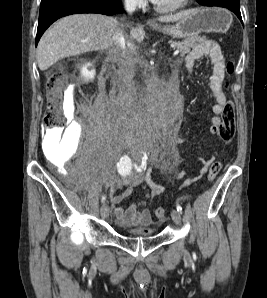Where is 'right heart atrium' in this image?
I'll use <instances>...</instances> for the list:
<instances>
[{"mask_svg":"<svg viewBox=\"0 0 267 298\" xmlns=\"http://www.w3.org/2000/svg\"><path fill=\"white\" fill-rule=\"evenodd\" d=\"M126 2L131 6H140L143 0H126Z\"/></svg>","mask_w":267,"mask_h":298,"instance_id":"1","label":"right heart atrium"}]
</instances>
